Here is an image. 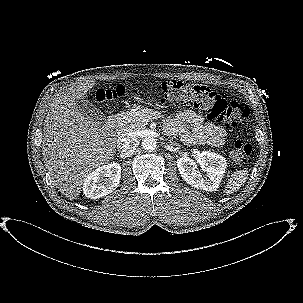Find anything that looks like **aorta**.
Here are the masks:
<instances>
[{"instance_id":"1","label":"aorta","mask_w":303,"mask_h":303,"mask_svg":"<svg viewBox=\"0 0 303 303\" xmlns=\"http://www.w3.org/2000/svg\"><path fill=\"white\" fill-rule=\"evenodd\" d=\"M157 142L152 137H146L142 140V148L147 151H153L156 149Z\"/></svg>"}]
</instances>
